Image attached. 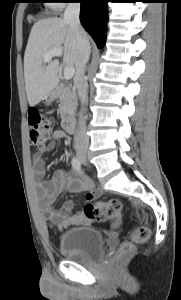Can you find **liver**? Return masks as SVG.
<instances>
[{"instance_id":"liver-1","label":"liver","mask_w":181,"mask_h":300,"mask_svg":"<svg viewBox=\"0 0 181 300\" xmlns=\"http://www.w3.org/2000/svg\"><path fill=\"white\" fill-rule=\"evenodd\" d=\"M83 35L87 38L84 31ZM53 48L63 49L65 66L75 65L78 51L70 25L57 17L37 21L31 29L24 55L25 89L30 106L37 105L58 86L59 61H44V55Z\"/></svg>"}]
</instances>
